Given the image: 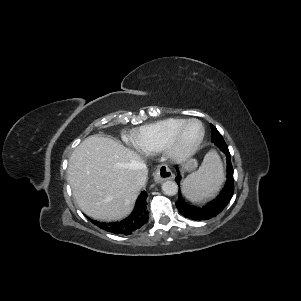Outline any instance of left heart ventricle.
<instances>
[{
    "mask_svg": "<svg viewBox=\"0 0 301 301\" xmlns=\"http://www.w3.org/2000/svg\"><path fill=\"white\" fill-rule=\"evenodd\" d=\"M201 131V126L198 123L188 125L181 136L180 147L187 149L193 146L199 139Z\"/></svg>",
    "mask_w": 301,
    "mask_h": 301,
    "instance_id": "1",
    "label": "left heart ventricle"
}]
</instances>
